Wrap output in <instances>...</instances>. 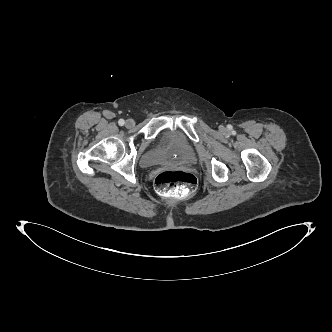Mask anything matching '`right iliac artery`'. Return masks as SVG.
<instances>
[{
	"instance_id": "82829eb1",
	"label": "right iliac artery",
	"mask_w": 332,
	"mask_h": 332,
	"mask_svg": "<svg viewBox=\"0 0 332 332\" xmlns=\"http://www.w3.org/2000/svg\"><path fill=\"white\" fill-rule=\"evenodd\" d=\"M118 123H119L120 126H123L124 123H125V121H124L123 119H120V120L118 121Z\"/></svg>"
}]
</instances>
